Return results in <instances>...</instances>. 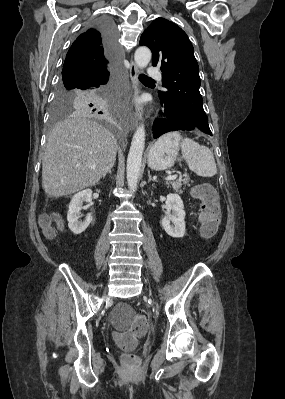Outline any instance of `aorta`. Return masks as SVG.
Wrapping results in <instances>:
<instances>
[{
    "label": "aorta",
    "mask_w": 285,
    "mask_h": 399,
    "mask_svg": "<svg viewBox=\"0 0 285 399\" xmlns=\"http://www.w3.org/2000/svg\"><path fill=\"white\" fill-rule=\"evenodd\" d=\"M151 51L148 47H139L134 54L136 65L144 69L151 60ZM145 147V128L141 124L134 133L127 158V184L131 191L137 188L141 171L142 155Z\"/></svg>",
    "instance_id": "aorta-1"
}]
</instances>
